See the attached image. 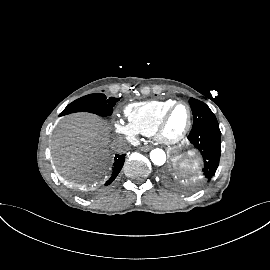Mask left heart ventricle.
I'll use <instances>...</instances> for the list:
<instances>
[{"label": "left heart ventricle", "mask_w": 270, "mask_h": 270, "mask_svg": "<svg viewBox=\"0 0 270 270\" xmlns=\"http://www.w3.org/2000/svg\"><path fill=\"white\" fill-rule=\"evenodd\" d=\"M188 121V111L185 106L176 107L169 116L166 124L165 133L173 137L180 134Z\"/></svg>", "instance_id": "obj_1"}]
</instances>
